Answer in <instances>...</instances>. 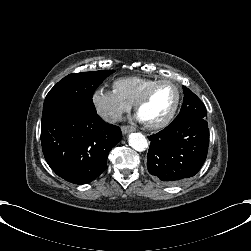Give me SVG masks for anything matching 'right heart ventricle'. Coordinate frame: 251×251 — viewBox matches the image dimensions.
<instances>
[{"label": "right heart ventricle", "mask_w": 251, "mask_h": 251, "mask_svg": "<svg viewBox=\"0 0 251 251\" xmlns=\"http://www.w3.org/2000/svg\"><path fill=\"white\" fill-rule=\"evenodd\" d=\"M155 80L157 79L150 76H125L115 79L112 87L123 101L133 106L143 94L144 90Z\"/></svg>", "instance_id": "1"}]
</instances>
